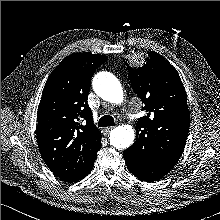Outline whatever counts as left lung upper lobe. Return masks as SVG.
I'll list each match as a JSON object with an SVG mask.
<instances>
[{
  "mask_svg": "<svg viewBox=\"0 0 220 220\" xmlns=\"http://www.w3.org/2000/svg\"><path fill=\"white\" fill-rule=\"evenodd\" d=\"M145 61L136 68L126 63L132 88L148 112L136 124L134 143L141 152L177 163L190 125L186 91L177 70L162 55L149 52Z\"/></svg>",
  "mask_w": 220,
  "mask_h": 220,
  "instance_id": "1",
  "label": "left lung upper lobe"
}]
</instances>
